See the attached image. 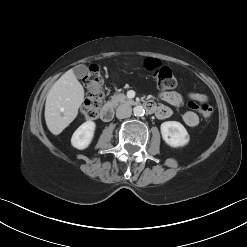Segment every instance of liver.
<instances>
[{
	"label": "liver",
	"mask_w": 247,
	"mask_h": 247,
	"mask_svg": "<svg viewBox=\"0 0 247 247\" xmlns=\"http://www.w3.org/2000/svg\"><path fill=\"white\" fill-rule=\"evenodd\" d=\"M84 101V88L73 70H68L52 86L45 103V121L49 131L60 134L76 118Z\"/></svg>",
	"instance_id": "6515ba94"
}]
</instances>
